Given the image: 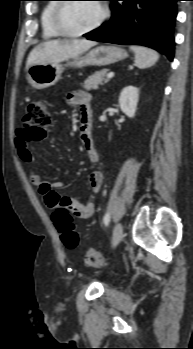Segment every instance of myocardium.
Segmentation results:
<instances>
[{
  "label": "myocardium",
  "instance_id": "1",
  "mask_svg": "<svg viewBox=\"0 0 193 349\" xmlns=\"http://www.w3.org/2000/svg\"><path fill=\"white\" fill-rule=\"evenodd\" d=\"M60 1H63V2H58L55 5L52 13V19H51L53 28L57 31V33L60 36L69 37V38L81 37L83 35H86L98 29L109 17L108 6L104 2H99L98 4L101 7V15L97 19V21L93 25H91L90 27L84 30L72 32L67 30L62 23V12L70 2H68V0H60Z\"/></svg>",
  "mask_w": 193,
  "mask_h": 349
}]
</instances>
